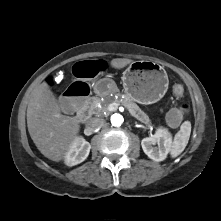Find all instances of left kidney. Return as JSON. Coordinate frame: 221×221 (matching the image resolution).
<instances>
[{
	"label": "left kidney",
	"mask_w": 221,
	"mask_h": 221,
	"mask_svg": "<svg viewBox=\"0 0 221 221\" xmlns=\"http://www.w3.org/2000/svg\"><path fill=\"white\" fill-rule=\"evenodd\" d=\"M158 144V147L154 145ZM144 153L154 161H163L166 159L172 147V136L165 128H158L156 133L146 137L141 141Z\"/></svg>",
	"instance_id": "obj_1"
}]
</instances>
